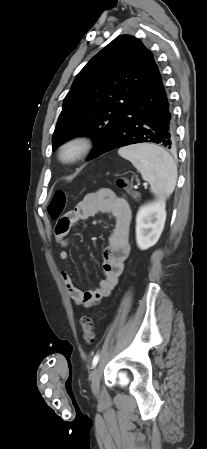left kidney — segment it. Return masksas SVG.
I'll return each mask as SVG.
<instances>
[{"label":"left kidney","instance_id":"1","mask_svg":"<svg viewBox=\"0 0 207 449\" xmlns=\"http://www.w3.org/2000/svg\"><path fill=\"white\" fill-rule=\"evenodd\" d=\"M165 200H156L140 207L136 216V242L141 250L154 246L163 231Z\"/></svg>","mask_w":207,"mask_h":449}]
</instances>
